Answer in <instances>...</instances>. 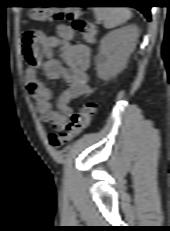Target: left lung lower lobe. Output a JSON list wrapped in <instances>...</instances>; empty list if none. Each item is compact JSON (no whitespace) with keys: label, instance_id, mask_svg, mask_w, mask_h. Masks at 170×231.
I'll return each mask as SVG.
<instances>
[{"label":"left lung lower lobe","instance_id":"left-lung-lower-lobe-1","mask_svg":"<svg viewBox=\"0 0 170 231\" xmlns=\"http://www.w3.org/2000/svg\"><path fill=\"white\" fill-rule=\"evenodd\" d=\"M130 4H135L132 7L137 8L139 11H141L144 16L147 18L148 21H151V7L148 5V0H131L129 1Z\"/></svg>","mask_w":170,"mask_h":231}]
</instances>
